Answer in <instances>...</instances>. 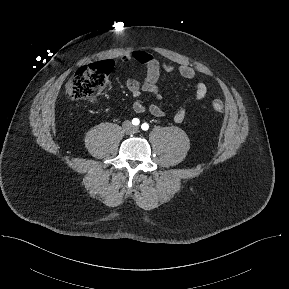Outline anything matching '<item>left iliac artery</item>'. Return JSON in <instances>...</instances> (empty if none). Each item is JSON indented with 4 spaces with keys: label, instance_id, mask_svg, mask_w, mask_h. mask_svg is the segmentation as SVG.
<instances>
[{
    "label": "left iliac artery",
    "instance_id": "1",
    "mask_svg": "<svg viewBox=\"0 0 289 289\" xmlns=\"http://www.w3.org/2000/svg\"><path fill=\"white\" fill-rule=\"evenodd\" d=\"M141 128H142V130L146 131V130L149 129V125H148L147 123H143V124L141 125Z\"/></svg>",
    "mask_w": 289,
    "mask_h": 289
}]
</instances>
